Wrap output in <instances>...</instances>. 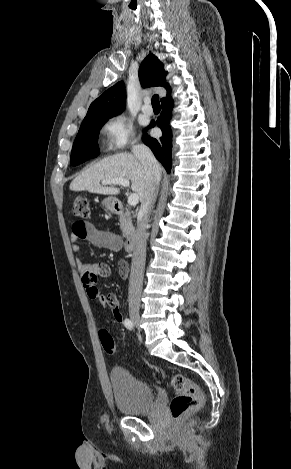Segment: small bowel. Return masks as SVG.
<instances>
[{
  "label": "small bowel",
  "mask_w": 291,
  "mask_h": 469,
  "mask_svg": "<svg viewBox=\"0 0 291 469\" xmlns=\"http://www.w3.org/2000/svg\"><path fill=\"white\" fill-rule=\"evenodd\" d=\"M80 240H86L99 248L119 251L122 247L121 237L105 226L95 225L88 221H77L72 226V251L75 254L77 269L88 297L103 299L105 306L111 309L114 321L118 324H124V317L116 294L108 293L103 295L97 287L99 279L109 277L110 267L106 263H97L91 266L84 265L80 260L81 247L78 244Z\"/></svg>",
  "instance_id": "obj_1"
}]
</instances>
